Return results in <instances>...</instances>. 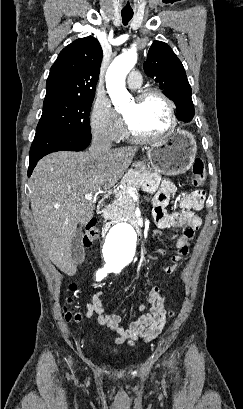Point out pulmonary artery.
<instances>
[{
    "mask_svg": "<svg viewBox=\"0 0 243 409\" xmlns=\"http://www.w3.org/2000/svg\"><path fill=\"white\" fill-rule=\"evenodd\" d=\"M127 84L132 89H137L142 84V76L138 71H131L127 77Z\"/></svg>",
    "mask_w": 243,
    "mask_h": 409,
    "instance_id": "obj_1",
    "label": "pulmonary artery"
}]
</instances>
